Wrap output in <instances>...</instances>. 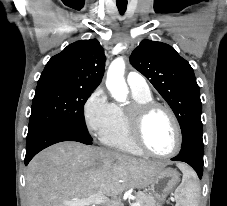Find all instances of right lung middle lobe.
<instances>
[{
  "label": "right lung middle lobe",
  "instance_id": "dd1d6c3e",
  "mask_svg": "<svg viewBox=\"0 0 227 206\" xmlns=\"http://www.w3.org/2000/svg\"><path fill=\"white\" fill-rule=\"evenodd\" d=\"M93 90H86L56 84L37 86L32 103L28 133L44 125L70 127L83 133L90 140L82 115L83 105Z\"/></svg>",
  "mask_w": 227,
  "mask_h": 206
}]
</instances>
